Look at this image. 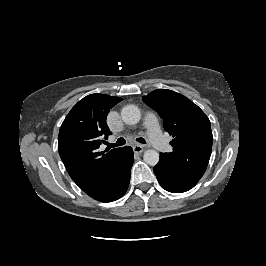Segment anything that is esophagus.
Here are the masks:
<instances>
[{
  "label": "esophagus",
  "mask_w": 266,
  "mask_h": 266,
  "mask_svg": "<svg viewBox=\"0 0 266 266\" xmlns=\"http://www.w3.org/2000/svg\"><path fill=\"white\" fill-rule=\"evenodd\" d=\"M133 151L135 153H142L144 151V146L140 144H136L133 146Z\"/></svg>",
  "instance_id": "obj_1"
}]
</instances>
